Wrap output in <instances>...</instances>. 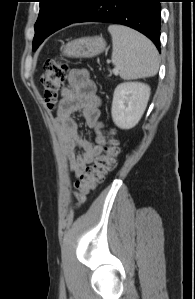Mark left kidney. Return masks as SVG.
<instances>
[{"label": "left kidney", "mask_w": 195, "mask_h": 299, "mask_svg": "<svg viewBox=\"0 0 195 299\" xmlns=\"http://www.w3.org/2000/svg\"><path fill=\"white\" fill-rule=\"evenodd\" d=\"M150 96V87L140 82L119 84L113 95L112 119L121 129H131L141 119Z\"/></svg>", "instance_id": "obj_1"}]
</instances>
